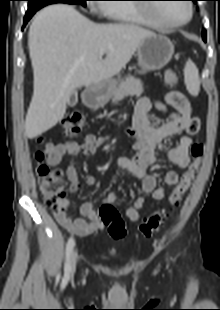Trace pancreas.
<instances>
[{"instance_id":"obj_1","label":"pancreas","mask_w":220,"mask_h":310,"mask_svg":"<svg viewBox=\"0 0 220 310\" xmlns=\"http://www.w3.org/2000/svg\"><path fill=\"white\" fill-rule=\"evenodd\" d=\"M143 84L140 79L128 76L124 81L115 87L112 92V102L118 103L127 96H140L143 93Z\"/></svg>"}]
</instances>
